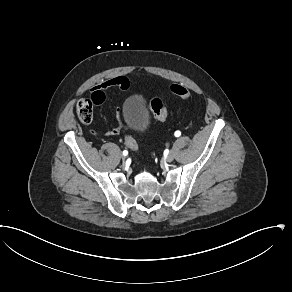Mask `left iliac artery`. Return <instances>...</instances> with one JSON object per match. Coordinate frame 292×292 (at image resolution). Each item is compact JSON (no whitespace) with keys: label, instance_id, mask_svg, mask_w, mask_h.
Here are the masks:
<instances>
[{"label":"left iliac artery","instance_id":"1","mask_svg":"<svg viewBox=\"0 0 292 292\" xmlns=\"http://www.w3.org/2000/svg\"><path fill=\"white\" fill-rule=\"evenodd\" d=\"M175 136H177V137L180 136V131H176Z\"/></svg>","mask_w":292,"mask_h":292}]
</instances>
